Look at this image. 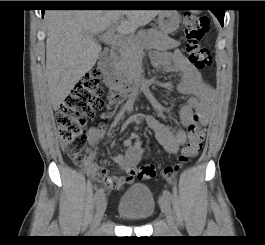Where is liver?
Listing matches in <instances>:
<instances>
[{
  "label": "liver",
  "instance_id": "liver-1",
  "mask_svg": "<svg viewBox=\"0 0 265 245\" xmlns=\"http://www.w3.org/2000/svg\"><path fill=\"white\" fill-rule=\"evenodd\" d=\"M160 10H49L47 24L46 78L53 109L89 72L101 53L94 35L115 26L122 34L134 33L150 23ZM125 16V18H124Z\"/></svg>",
  "mask_w": 265,
  "mask_h": 245
}]
</instances>
